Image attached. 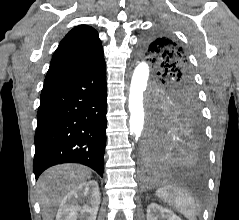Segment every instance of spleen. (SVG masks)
Here are the masks:
<instances>
[{"instance_id": "obj_1", "label": "spleen", "mask_w": 239, "mask_h": 220, "mask_svg": "<svg viewBox=\"0 0 239 220\" xmlns=\"http://www.w3.org/2000/svg\"><path fill=\"white\" fill-rule=\"evenodd\" d=\"M156 195L168 205L174 207L188 220H196L197 209L193 197L182 188L167 185L159 188Z\"/></svg>"}]
</instances>
